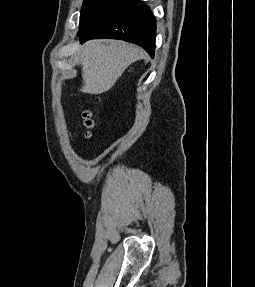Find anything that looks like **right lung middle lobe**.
Listing matches in <instances>:
<instances>
[{"label":"right lung middle lobe","instance_id":"1","mask_svg":"<svg viewBox=\"0 0 255 287\" xmlns=\"http://www.w3.org/2000/svg\"><path fill=\"white\" fill-rule=\"evenodd\" d=\"M133 3L136 2H133L132 0H84L80 13V27L78 33L86 31L124 6Z\"/></svg>","mask_w":255,"mask_h":287}]
</instances>
